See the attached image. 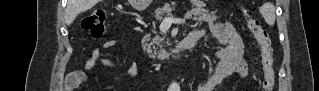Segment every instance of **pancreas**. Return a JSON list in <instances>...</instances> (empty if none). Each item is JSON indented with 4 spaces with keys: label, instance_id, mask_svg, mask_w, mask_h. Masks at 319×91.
Instances as JSON below:
<instances>
[{
    "label": "pancreas",
    "instance_id": "pancreas-1",
    "mask_svg": "<svg viewBox=\"0 0 319 91\" xmlns=\"http://www.w3.org/2000/svg\"><path fill=\"white\" fill-rule=\"evenodd\" d=\"M174 10V7H171L169 4H166L162 8H158L155 11V18L159 21L163 19L165 15H168ZM216 12H208L202 5H196V7L187 15V18H192L199 24L203 22H207L208 24H213V22L217 19L215 15ZM193 16V17H192ZM163 40L156 36L152 43L146 44V52L153 59H162L167 55V52L162 49ZM157 45V47H155Z\"/></svg>",
    "mask_w": 319,
    "mask_h": 91
}]
</instances>
